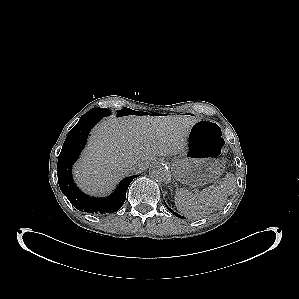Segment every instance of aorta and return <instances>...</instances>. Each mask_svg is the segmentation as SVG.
Wrapping results in <instances>:
<instances>
[{
  "label": "aorta",
  "mask_w": 299,
  "mask_h": 299,
  "mask_svg": "<svg viewBox=\"0 0 299 299\" xmlns=\"http://www.w3.org/2000/svg\"><path fill=\"white\" fill-rule=\"evenodd\" d=\"M149 175L152 179L162 182L169 177L170 172L164 164L157 163L150 167Z\"/></svg>",
  "instance_id": "1"
}]
</instances>
